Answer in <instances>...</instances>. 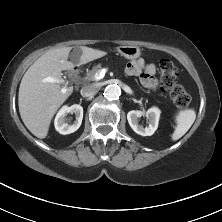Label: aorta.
I'll list each match as a JSON object with an SVG mask.
<instances>
[{
  "mask_svg": "<svg viewBox=\"0 0 222 222\" xmlns=\"http://www.w3.org/2000/svg\"><path fill=\"white\" fill-rule=\"evenodd\" d=\"M121 95V89L117 85H108L104 91V96L107 100H117Z\"/></svg>",
  "mask_w": 222,
  "mask_h": 222,
  "instance_id": "aorta-1",
  "label": "aorta"
}]
</instances>
